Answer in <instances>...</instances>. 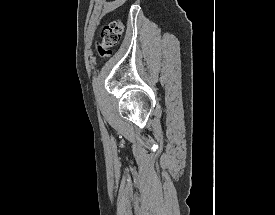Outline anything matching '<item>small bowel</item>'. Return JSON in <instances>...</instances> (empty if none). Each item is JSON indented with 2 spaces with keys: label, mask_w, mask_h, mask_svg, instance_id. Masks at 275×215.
Wrapping results in <instances>:
<instances>
[{
  "label": "small bowel",
  "mask_w": 275,
  "mask_h": 215,
  "mask_svg": "<svg viewBox=\"0 0 275 215\" xmlns=\"http://www.w3.org/2000/svg\"><path fill=\"white\" fill-rule=\"evenodd\" d=\"M124 2L125 0H113L112 2L109 3L108 9H112L114 7L120 6Z\"/></svg>",
  "instance_id": "1"
}]
</instances>
